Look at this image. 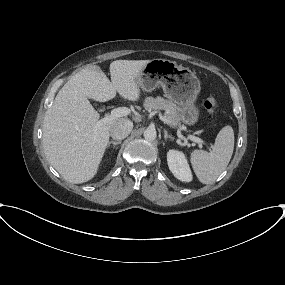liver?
I'll use <instances>...</instances> for the list:
<instances>
[{
  "label": "liver",
  "mask_w": 285,
  "mask_h": 285,
  "mask_svg": "<svg viewBox=\"0 0 285 285\" xmlns=\"http://www.w3.org/2000/svg\"><path fill=\"white\" fill-rule=\"evenodd\" d=\"M148 62L113 61L109 67L111 81L99 66H87L60 89L46 111L42 143L47 160L65 180L79 184L96 175L110 129L118 120H99V113L88 99L106 102L118 93L124 99L137 101L138 77Z\"/></svg>",
  "instance_id": "obj_1"
}]
</instances>
